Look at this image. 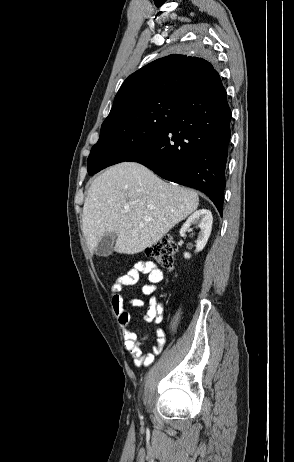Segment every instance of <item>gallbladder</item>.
Segmentation results:
<instances>
[{
	"mask_svg": "<svg viewBox=\"0 0 294 462\" xmlns=\"http://www.w3.org/2000/svg\"><path fill=\"white\" fill-rule=\"evenodd\" d=\"M117 235L115 232H107L100 239L95 254L100 257H107L112 253Z\"/></svg>",
	"mask_w": 294,
	"mask_h": 462,
	"instance_id": "bac80fb5",
	"label": "gallbladder"
}]
</instances>
